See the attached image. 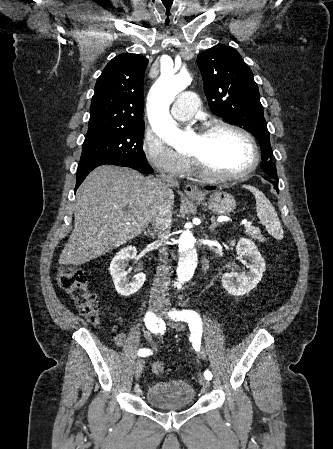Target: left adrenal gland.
I'll return each instance as SVG.
<instances>
[{"label":"left adrenal gland","mask_w":333,"mask_h":449,"mask_svg":"<svg viewBox=\"0 0 333 449\" xmlns=\"http://www.w3.org/2000/svg\"><path fill=\"white\" fill-rule=\"evenodd\" d=\"M217 225H218V223L215 221V218L213 217V218L211 219V225H210V227H209L210 231L213 232L214 229H215V227H216Z\"/></svg>","instance_id":"a2214340"}]
</instances>
